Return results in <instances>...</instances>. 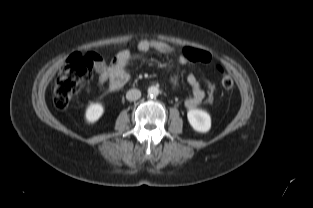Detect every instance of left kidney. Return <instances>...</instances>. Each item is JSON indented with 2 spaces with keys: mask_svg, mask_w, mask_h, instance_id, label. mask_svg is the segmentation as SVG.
<instances>
[{
  "mask_svg": "<svg viewBox=\"0 0 313 208\" xmlns=\"http://www.w3.org/2000/svg\"><path fill=\"white\" fill-rule=\"evenodd\" d=\"M187 118L191 127L199 133H207L211 128V117L204 110L190 109Z\"/></svg>",
  "mask_w": 313,
  "mask_h": 208,
  "instance_id": "obj_1",
  "label": "left kidney"
}]
</instances>
